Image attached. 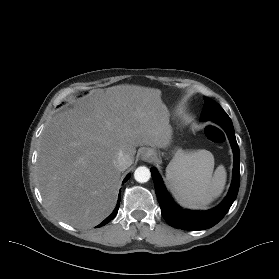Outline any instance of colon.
I'll return each mask as SVG.
<instances>
[{
  "label": "colon",
  "mask_w": 279,
  "mask_h": 279,
  "mask_svg": "<svg viewBox=\"0 0 279 279\" xmlns=\"http://www.w3.org/2000/svg\"><path fill=\"white\" fill-rule=\"evenodd\" d=\"M205 135L213 143L220 144L225 141L224 132L216 126L207 127L205 130Z\"/></svg>",
  "instance_id": "1"
}]
</instances>
